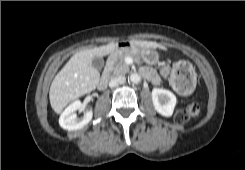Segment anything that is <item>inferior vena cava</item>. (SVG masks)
<instances>
[{"label":"inferior vena cava","mask_w":245,"mask_h":170,"mask_svg":"<svg viewBox=\"0 0 245 170\" xmlns=\"http://www.w3.org/2000/svg\"><path fill=\"white\" fill-rule=\"evenodd\" d=\"M126 81L125 76H116L111 78V80L109 81V87L113 88L116 87L120 84H124Z\"/></svg>","instance_id":"obj_1"}]
</instances>
